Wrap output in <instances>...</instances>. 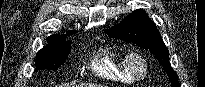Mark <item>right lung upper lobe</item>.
Listing matches in <instances>:
<instances>
[{"instance_id": "obj_1", "label": "right lung upper lobe", "mask_w": 205, "mask_h": 87, "mask_svg": "<svg viewBox=\"0 0 205 87\" xmlns=\"http://www.w3.org/2000/svg\"><path fill=\"white\" fill-rule=\"evenodd\" d=\"M73 33H76V31H67L64 35H58V34H55V35H51L47 38L48 40V43H59L61 41H65V38L68 36V35H71Z\"/></svg>"}]
</instances>
